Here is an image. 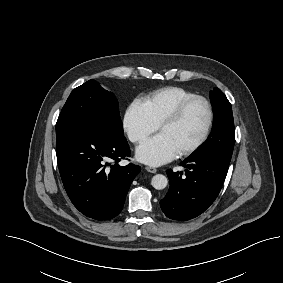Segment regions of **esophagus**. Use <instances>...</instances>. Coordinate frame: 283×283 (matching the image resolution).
<instances>
[{
    "mask_svg": "<svg viewBox=\"0 0 283 283\" xmlns=\"http://www.w3.org/2000/svg\"><path fill=\"white\" fill-rule=\"evenodd\" d=\"M145 169H146L148 172H150V173H156V172H157V169L154 168V167H149V166H147Z\"/></svg>",
    "mask_w": 283,
    "mask_h": 283,
    "instance_id": "obj_1",
    "label": "esophagus"
}]
</instances>
